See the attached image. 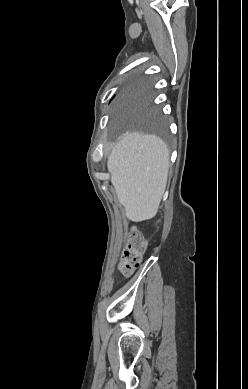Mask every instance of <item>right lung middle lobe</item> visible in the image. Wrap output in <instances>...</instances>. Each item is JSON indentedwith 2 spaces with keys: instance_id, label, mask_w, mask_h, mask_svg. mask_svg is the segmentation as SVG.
Returning <instances> with one entry per match:
<instances>
[{
  "instance_id": "1",
  "label": "right lung middle lobe",
  "mask_w": 248,
  "mask_h": 389,
  "mask_svg": "<svg viewBox=\"0 0 248 389\" xmlns=\"http://www.w3.org/2000/svg\"><path fill=\"white\" fill-rule=\"evenodd\" d=\"M131 124L147 132L155 133L162 138L168 139L160 114L151 107L149 100L143 98L136 100L128 108Z\"/></svg>"
}]
</instances>
